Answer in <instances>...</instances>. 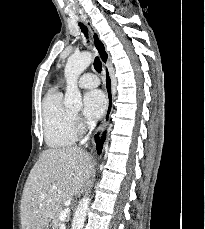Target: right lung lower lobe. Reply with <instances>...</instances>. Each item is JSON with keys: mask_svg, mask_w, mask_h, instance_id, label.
Returning <instances> with one entry per match:
<instances>
[{"mask_svg": "<svg viewBox=\"0 0 205 229\" xmlns=\"http://www.w3.org/2000/svg\"><path fill=\"white\" fill-rule=\"evenodd\" d=\"M105 132L103 133V136L101 137V139L99 138L98 135L95 136V141L97 143V152L98 154L101 153V150H102V146H103V143H104V140H105Z\"/></svg>", "mask_w": 205, "mask_h": 229, "instance_id": "1", "label": "right lung lower lobe"}]
</instances>
